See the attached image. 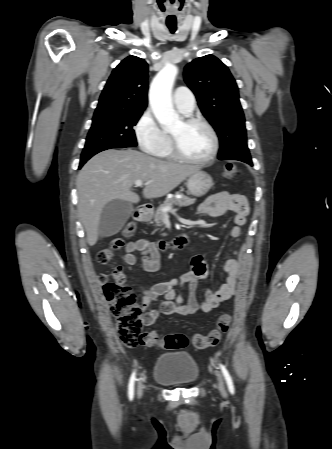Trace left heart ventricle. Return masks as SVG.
Returning a JSON list of instances; mask_svg holds the SVG:
<instances>
[{
  "label": "left heart ventricle",
  "instance_id": "b2bd125f",
  "mask_svg": "<svg viewBox=\"0 0 332 449\" xmlns=\"http://www.w3.org/2000/svg\"><path fill=\"white\" fill-rule=\"evenodd\" d=\"M181 150L194 158L206 157L212 148V141L207 129L199 124L185 125L180 120L171 130Z\"/></svg>",
  "mask_w": 332,
  "mask_h": 449
}]
</instances>
